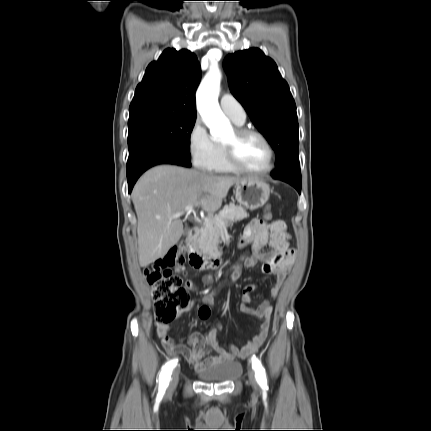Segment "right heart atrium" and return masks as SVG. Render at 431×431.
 Returning a JSON list of instances; mask_svg holds the SVG:
<instances>
[{
    "mask_svg": "<svg viewBox=\"0 0 431 431\" xmlns=\"http://www.w3.org/2000/svg\"><path fill=\"white\" fill-rule=\"evenodd\" d=\"M188 151L197 169H213L219 155V143L211 137L199 118L194 121L188 133Z\"/></svg>",
    "mask_w": 431,
    "mask_h": 431,
    "instance_id": "right-heart-atrium-1",
    "label": "right heart atrium"
}]
</instances>
